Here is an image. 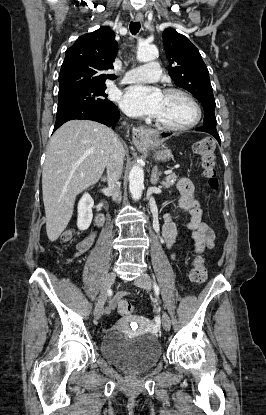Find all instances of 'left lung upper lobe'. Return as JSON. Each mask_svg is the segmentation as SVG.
I'll return each instance as SVG.
<instances>
[{"label":"left lung upper lobe","instance_id":"1","mask_svg":"<svg viewBox=\"0 0 266 415\" xmlns=\"http://www.w3.org/2000/svg\"><path fill=\"white\" fill-rule=\"evenodd\" d=\"M163 44L169 61V75L177 86L192 93L204 109V126L197 129L219 137L214 114L215 99L209 72L198 49L189 39L168 28L163 32Z\"/></svg>","mask_w":266,"mask_h":415}]
</instances>
